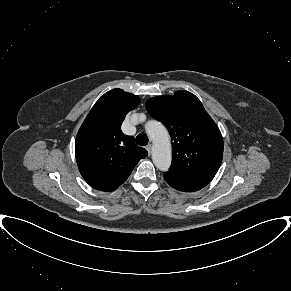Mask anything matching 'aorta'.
<instances>
[{"mask_svg": "<svg viewBox=\"0 0 291 291\" xmlns=\"http://www.w3.org/2000/svg\"><path fill=\"white\" fill-rule=\"evenodd\" d=\"M145 129L153 142L152 160L155 166L161 171H168L172 160V150L167 129L155 120L148 121Z\"/></svg>", "mask_w": 291, "mask_h": 291, "instance_id": "1", "label": "aorta"}]
</instances>
